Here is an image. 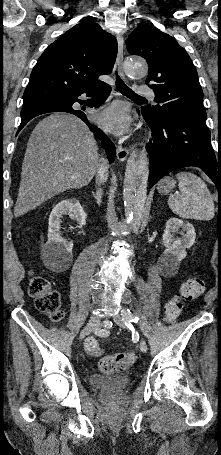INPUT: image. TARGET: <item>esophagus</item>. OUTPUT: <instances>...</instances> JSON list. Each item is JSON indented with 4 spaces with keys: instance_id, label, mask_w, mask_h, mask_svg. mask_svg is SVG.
<instances>
[{
    "instance_id": "esophagus-1",
    "label": "esophagus",
    "mask_w": 221,
    "mask_h": 455,
    "mask_svg": "<svg viewBox=\"0 0 221 455\" xmlns=\"http://www.w3.org/2000/svg\"><path fill=\"white\" fill-rule=\"evenodd\" d=\"M117 40H118V53H117L118 70H119L120 76L124 78V73L122 71V62H123V55H124V53H123L124 40H123L122 35H118ZM129 153H130L129 149L121 147V146L117 147V158L120 162H124L128 158Z\"/></svg>"
}]
</instances>
